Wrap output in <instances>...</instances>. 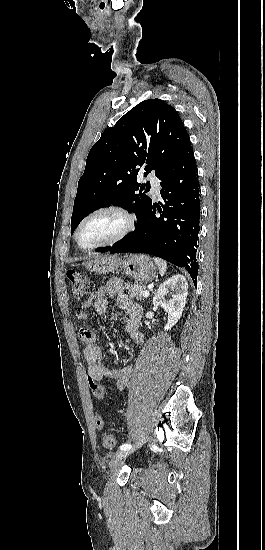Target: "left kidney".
Wrapping results in <instances>:
<instances>
[{
    "label": "left kidney",
    "mask_w": 265,
    "mask_h": 550,
    "mask_svg": "<svg viewBox=\"0 0 265 550\" xmlns=\"http://www.w3.org/2000/svg\"><path fill=\"white\" fill-rule=\"evenodd\" d=\"M187 290L188 284L185 277L178 274L164 281L154 294V306L162 307L168 314L165 331L170 330L181 318L188 295Z\"/></svg>",
    "instance_id": "5707ae66"
}]
</instances>
